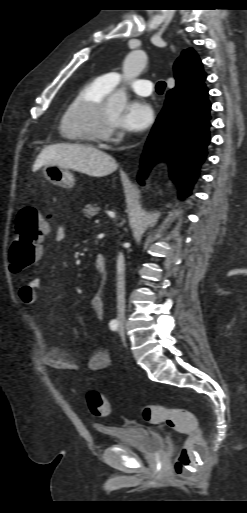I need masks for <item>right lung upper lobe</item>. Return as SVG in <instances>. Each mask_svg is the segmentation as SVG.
<instances>
[{
  "label": "right lung upper lobe",
  "mask_w": 247,
  "mask_h": 513,
  "mask_svg": "<svg viewBox=\"0 0 247 513\" xmlns=\"http://www.w3.org/2000/svg\"><path fill=\"white\" fill-rule=\"evenodd\" d=\"M176 86L174 90L192 91L203 84L206 74L202 64L193 49L189 48L181 53L174 64Z\"/></svg>",
  "instance_id": "right-lung-upper-lobe-1"
}]
</instances>
